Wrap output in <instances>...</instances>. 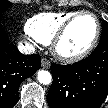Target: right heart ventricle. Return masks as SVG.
<instances>
[{"label": "right heart ventricle", "instance_id": "1", "mask_svg": "<svg viewBox=\"0 0 108 108\" xmlns=\"http://www.w3.org/2000/svg\"><path fill=\"white\" fill-rule=\"evenodd\" d=\"M75 12H44L35 15L27 23L28 33L42 44H50L61 26Z\"/></svg>", "mask_w": 108, "mask_h": 108}]
</instances>
